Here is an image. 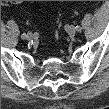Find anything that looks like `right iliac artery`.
Wrapping results in <instances>:
<instances>
[{
  "label": "right iliac artery",
  "instance_id": "obj_1",
  "mask_svg": "<svg viewBox=\"0 0 109 109\" xmlns=\"http://www.w3.org/2000/svg\"><path fill=\"white\" fill-rule=\"evenodd\" d=\"M25 36H26V33H23V34L21 35V38L25 39Z\"/></svg>",
  "mask_w": 109,
  "mask_h": 109
}]
</instances>
